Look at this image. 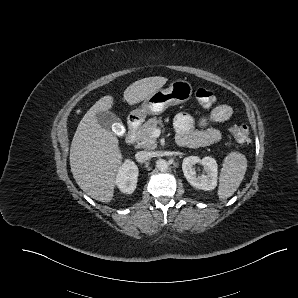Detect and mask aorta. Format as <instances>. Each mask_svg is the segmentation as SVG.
<instances>
[{
	"mask_svg": "<svg viewBox=\"0 0 298 298\" xmlns=\"http://www.w3.org/2000/svg\"><path fill=\"white\" fill-rule=\"evenodd\" d=\"M155 164L159 171H165L168 168V161L164 158L157 159Z\"/></svg>",
	"mask_w": 298,
	"mask_h": 298,
	"instance_id": "1",
	"label": "aorta"
}]
</instances>
